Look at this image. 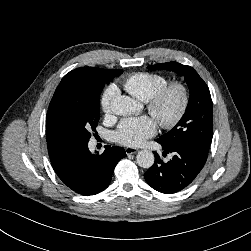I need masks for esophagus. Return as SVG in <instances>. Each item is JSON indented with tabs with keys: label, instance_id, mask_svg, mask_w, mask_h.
Here are the masks:
<instances>
[{
	"label": "esophagus",
	"instance_id": "1",
	"mask_svg": "<svg viewBox=\"0 0 251 251\" xmlns=\"http://www.w3.org/2000/svg\"><path fill=\"white\" fill-rule=\"evenodd\" d=\"M138 148H134V147H127L125 148V152L127 155H130V154H135L136 152H138Z\"/></svg>",
	"mask_w": 251,
	"mask_h": 251
}]
</instances>
